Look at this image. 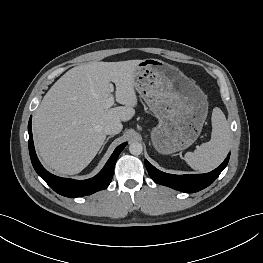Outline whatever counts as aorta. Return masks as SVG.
Returning <instances> with one entry per match:
<instances>
[{"instance_id":"obj_1","label":"aorta","mask_w":263,"mask_h":263,"mask_svg":"<svg viewBox=\"0 0 263 263\" xmlns=\"http://www.w3.org/2000/svg\"><path fill=\"white\" fill-rule=\"evenodd\" d=\"M129 151L132 155H140L143 151V146L139 142H132L129 146Z\"/></svg>"}]
</instances>
